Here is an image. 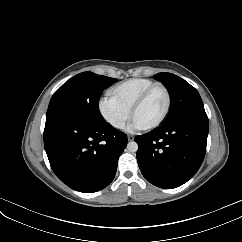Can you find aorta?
<instances>
[{"instance_id":"obj_1","label":"aorta","mask_w":242,"mask_h":242,"mask_svg":"<svg viewBox=\"0 0 242 242\" xmlns=\"http://www.w3.org/2000/svg\"><path fill=\"white\" fill-rule=\"evenodd\" d=\"M127 149L129 152H136L138 150V144L135 141L129 142Z\"/></svg>"}]
</instances>
